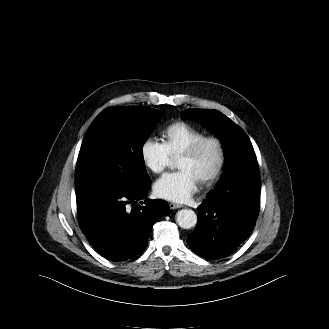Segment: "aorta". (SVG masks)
Returning a JSON list of instances; mask_svg holds the SVG:
<instances>
[{
  "mask_svg": "<svg viewBox=\"0 0 329 329\" xmlns=\"http://www.w3.org/2000/svg\"><path fill=\"white\" fill-rule=\"evenodd\" d=\"M176 221L183 229H190L197 223V215L191 209H182L176 214Z\"/></svg>",
  "mask_w": 329,
  "mask_h": 329,
  "instance_id": "aorta-1",
  "label": "aorta"
}]
</instances>
